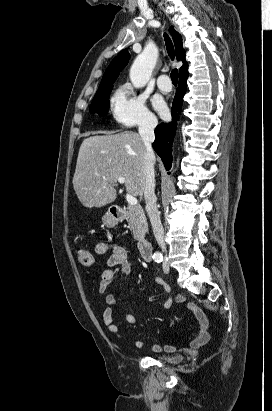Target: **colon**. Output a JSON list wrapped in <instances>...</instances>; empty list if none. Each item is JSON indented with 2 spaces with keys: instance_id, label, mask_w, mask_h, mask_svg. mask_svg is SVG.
<instances>
[{
  "instance_id": "colon-1",
  "label": "colon",
  "mask_w": 272,
  "mask_h": 411,
  "mask_svg": "<svg viewBox=\"0 0 272 411\" xmlns=\"http://www.w3.org/2000/svg\"><path fill=\"white\" fill-rule=\"evenodd\" d=\"M76 255L79 263L84 266H91L94 262L92 254L84 248H78Z\"/></svg>"
}]
</instances>
